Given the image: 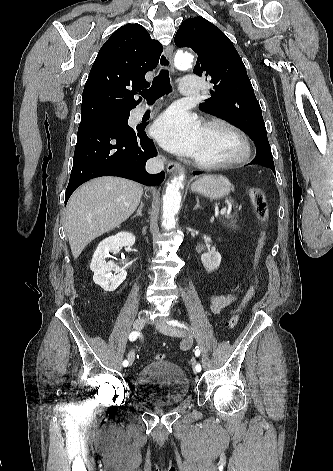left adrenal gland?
Listing matches in <instances>:
<instances>
[{
	"label": "left adrenal gland",
	"mask_w": 333,
	"mask_h": 471,
	"mask_svg": "<svg viewBox=\"0 0 333 471\" xmlns=\"http://www.w3.org/2000/svg\"><path fill=\"white\" fill-rule=\"evenodd\" d=\"M196 201H197V203H196L195 207L193 208V210H196V209H198V208H201V206H200V204H199V198H198V197L196 198Z\"/></svg>",
	"instance_id": "obj_1"
}]
</instances>
